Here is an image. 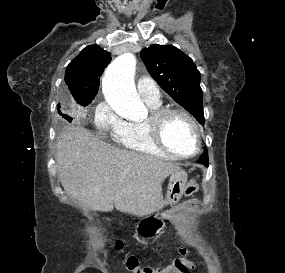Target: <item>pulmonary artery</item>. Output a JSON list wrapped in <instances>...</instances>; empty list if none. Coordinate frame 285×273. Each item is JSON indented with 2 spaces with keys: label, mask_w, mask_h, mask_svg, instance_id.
Wrapping results in <instances>:
<instances>
[{
  "label": "pulmonary artery",
  "mask_w": 285,
  "mask_h": 273,
  "mask_svg": "<svg viewBox=\"0 0 285 273\" xmlns=\"http://www.w3.org/2000/svg\"><path fill=\"white\" fill-rule=\"evenodd\" d=\"M137 89L145 102L158 103L161 101L160 89L150 77H139L137 79Z\"/></svg>",
  "instance_id": "e3ab8cb5"
}]
</instances>
